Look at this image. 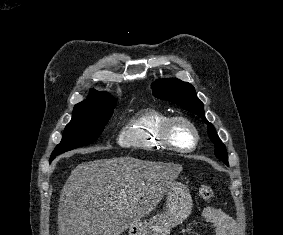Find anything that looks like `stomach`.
<instances>
[{
  "label": "stomach",
  "mask_w": 283,
  "mask_h": 235,
  "mask_svg": "<svg viewBox=\"0 0 283 235\" xmlns=\"http://www.w3.org/2000/svg\"><path fill=\"white\" fill-rule=\"evenodd\" d=\"M166 207L148 221H139L128 227V235H169L172 228L181 224L191 213L193 201L189 190L178 181L167 189Z\"/></svg>",
  "instance_id": "obj_1"
}]
</instances>
